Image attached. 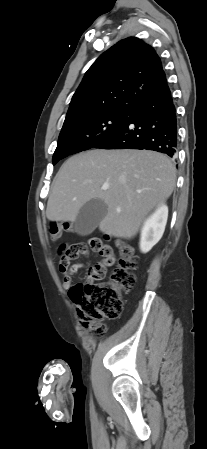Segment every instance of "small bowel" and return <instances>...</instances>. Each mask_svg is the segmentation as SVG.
Segmentation results:
<instances>
[{"label":"small bowel","instance_id":"1","mask_svg":"<svg viewBox=\"0 0 207 449\" xmlns=\"http://www.w3.org/2000/svg\"><path fill=\"white\" fill-rule=\"evenodd\" d=\"M83 268V264H73L67 267H62L59 265L60 272L62 273V287L68 289L72 285V275L76 273L79 269ZM94 267L88 270V279H93Z\"/></svg>","mask_w":207,"mask_h":449}]
</instances>
